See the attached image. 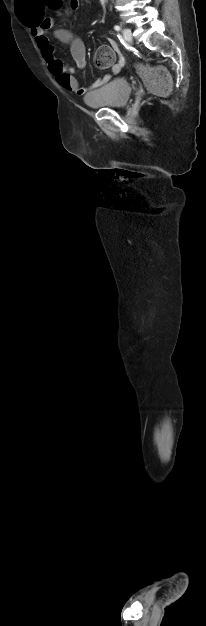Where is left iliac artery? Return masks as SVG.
<instances>
[{
  "label": "left iliac artery",
  "instance_id": "obj_1",
  "mask_svg": "<svg viewBox=\"0 0 206 626\" xmlns=\"http://www.w3.org/2000/svg\"><path fill=\"white\" fill-rule=\"evenodd\" d=\"M114 29H115L116 31H120V30H121V27H120L119 25H115V26H114Z\"/></svg>",
  "mask_w": 206,
  "mask_h": 626
}]
</instances>
